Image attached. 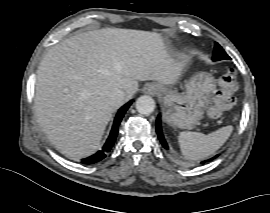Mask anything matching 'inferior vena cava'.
<instances>
[{
  "label": "inferior vena cava",
  "instance_id": "1",
  "mask_svg": "<svg viewBox=\"0 0 270 213\" xmlns=\"http://www.w3.org/2000/svg\"><path fill=\"white\" fill-rule=\"evenodd\" d=\"M125 92L121 89H114L110 92V98L115 102H123L125 100Z\"/></svg>",
  "mask_w": 270,
  "mask_h": 213
}]
</instances>
